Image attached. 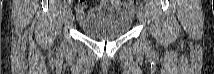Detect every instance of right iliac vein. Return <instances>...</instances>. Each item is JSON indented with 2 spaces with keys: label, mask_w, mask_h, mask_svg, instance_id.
I'll return each mask as SVG.
<instances>
[{
  "label": "right iliac vein",
  "mask_w": 214,
  "mask_h": 74,
  "mask_svg": "<svg viewBox=\"0 0 214 74\" xmlns=\"http://www.w3.org/2000/svg\"><path fill=\"white\" fill-rule=\"evenodd\" d=\"M68 19L71 21L73 19V14L71 11L68 12Z\"/></svg>",
  "instance_id": "right-iliac-vein-1"
}]
</instances>
